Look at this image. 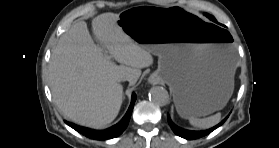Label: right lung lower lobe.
<instances>
[{
	"instance_id": "1",
	"label": "right lung lower lobe",
	"mask_w": 279,
	"mask_h": 148,
	"mask_svg": "<svg viewBox=\"0 0 279 148\" xmlns=\"http://www.w3.org/2000/svg\"><path fill=\"white\" fill-rule=\"evenodd\" d=\"M135 100H136V95L133 94L131 105H130L127 113L125 114V116L122 118V120L119 123H117L116 125L108 128L106 130H92V129L77 126L70 122H66V124L69 125L70 127H72L73 129H75L76 131L86 135L90 139L106 140V139L118 137L120 134L123 133V131L126 129L128 123H129Z\"/></svg>"
}]
</instances>
